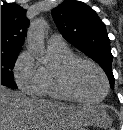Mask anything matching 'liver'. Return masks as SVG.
I'll return each mask as SVG.
<instances>
[{
	"label": "liver",
	"instance_id": "6515ba94",
	"mask_svg": "<svg viewBox=\"0 0 123 130\" xmlns=\"http://www.w3.org/2000/svg\"><path fill=\"white\" fill-rule=\"evenodd\" d=\"M100 116L96 107L29 98L1 85V130H70L99 125Z\"/></svg>",
	"mask_w": 123,
	"mask_h": 130
}]
</instances>
